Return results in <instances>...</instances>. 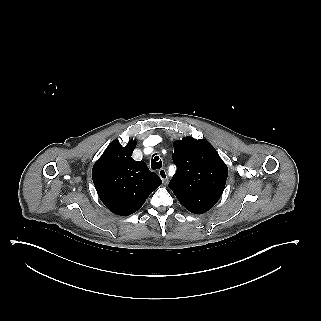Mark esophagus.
I'll return each instance as SVG.
<instances>
[{"instance_id":"obj_1","label":"esophagus","mask_w":321,"mask_h":321,"mask_svg":"<svg viewBox=\"0 0 321 321\" xmlns=\"http://www.w3.org/2000/svg\"><path fill=\"white\" fill-rule=\"evenodd\" d=\"M158 174H159V177L162 179L164 185H167L169 178L167 176L166 170L165 169H160Z\"/></svg>"}]
</instances>
